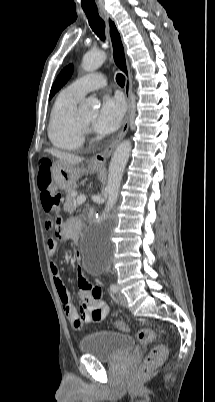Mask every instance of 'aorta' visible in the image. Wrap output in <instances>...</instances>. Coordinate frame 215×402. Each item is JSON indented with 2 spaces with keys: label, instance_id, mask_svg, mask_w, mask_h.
Masks as SVG:
<instances>
[{
  "label": "aorta",
  "instance_id": "1",
  "mask_svg": "<svg viewBox=\"0 0 215 402\" xmlns=\"http://www.w3.org/2000/svg\"><path fill=\"white\" fill-rule=\"evenodd\" d=\"M105 60L106 54L103 51L88 52L82 59V68L87 72L95 71L105 62ZM99 104L100 101L97 98H87L82 104V111L93 112L97 109ZM131 148V141L124 140L117 146L113 153L109 164L106 185L108 198L101 216L102 218L108 216L110 210L117 202L123 173L130 156ZM103 256L104 254L99 251L94 257H87L85 260L86 267L89 269L99 268Z\"/></svg>",
  "mask_w": 215,
  "mask_h": 402
}]
</instances>
